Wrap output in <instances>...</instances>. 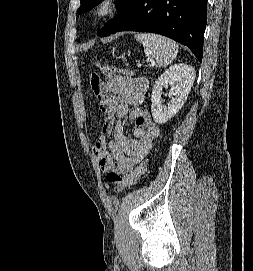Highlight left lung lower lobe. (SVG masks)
I'll use <instances>...</instances> for the list:
<instances>
[{
    "label": "left lung lower lobe",
    "mask_w": 253,
    "mask_h": 271,
    "mask_svg": "<svg viewBox=\"0 0 253 271\" xmlns=\"http://www.w3.org/2000/svg\"><path fill=\"white\" fill-rule=\"evenodd\" d=\"M207 0H134L119 31L151 32L186 45L202 61Z\"/></svg>",
    "instance_id": "1"
}]
</instances>
